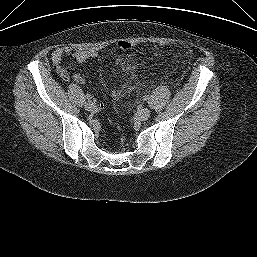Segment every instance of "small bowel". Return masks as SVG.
<instances>
[{"label": "small bowel", "instance_id": "small-bowel-1", "mask_svg": "<svg viewBox=\"0 0 257 257\" xmlns=\"http://www.w3.org/2000/svg\"><path fill=\"white\" fill-rule=\"evenodd\" d=\"M66 55H71L74 61L85 62L87 60L96 58L98 52L95 49H81L72 51L69 48H56L52 52L51 59L56 72L62 77H66L67 75L65 69L61 66L63 58ZM116 64L124 73L128 74L130 77L135 75L137 64L133 62L130 57H118ZM72 78L73 81L77 84L82 85L85 83L84 77L79 73L74 74Z\"/></svg>", "mask_w": 257, "mask_h": 257}]
</instances>
